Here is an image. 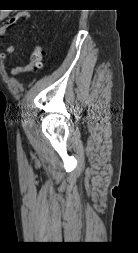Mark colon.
I'll return each instance as SVG.
<instances>
[{"label":"colon","mask_w":138,"mask_h":253,"mask_svg":"<svg viewBox=\"0 0 138 253\" xmlns=\"http://www.w3.org/2000/svg\"><path fill=\"white\" fill-rule=\"evenodd\" d=\"M44 58V49L42 46H36L29 57V62L25 67V71L34 72L42 66Z\"/></svg>","instance_id":"colon-1"}]
</instances>
